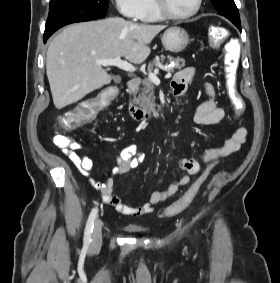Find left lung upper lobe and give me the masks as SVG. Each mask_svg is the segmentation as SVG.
I'll list each match as a JSON object with an SVG mask.
<instances>
[{
    "label": "left lung upper lobe",
    "instance_id": "obj_1",
    "mask_svg": "<svg viewBox=\"0 0 280 283\" xmlns=\"http://www.w3.org/2000/svg\"><path fill=\"white\" fill-rule=\"evenodd\" d=\"M214 8L230 21L240 22V16L234 0H211Z\"/></svg>",
    "mask_w": 280,
    "mask_h": 283
}]
</instances>
